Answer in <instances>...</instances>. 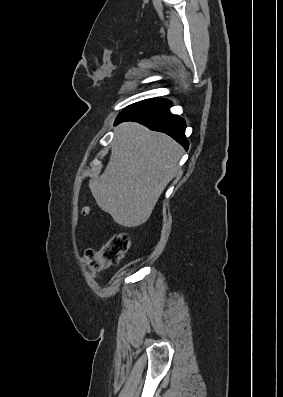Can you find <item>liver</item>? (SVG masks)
<instances>
[{
  "label": "liver",
  "mask_w": 283,
  "mask_h": 397,
  "mask_svg": "<svg viewBox=\"0 0 283 397\" xmlns=\"http://www.w3.org/2000/svg\"><path fill=\"white\" fill-rule=\"evenodd\" d=\"M181 154L182 147L166 134L120 124L105 171L89 183L97 205L119 225L144 224L175 176Z\"/></svg>",
  "instance_id": "obj_1"
}]
</instances>
